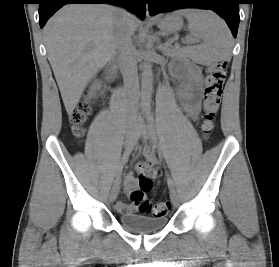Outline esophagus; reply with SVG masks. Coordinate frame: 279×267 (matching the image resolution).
Returning <instances> with one entry per match:
<instances>
[{
    "label": "esophagus",
    "mask_w": 279,
    "mask_h": 267,
    "mask_svg": "<svg viewBox=\"0 0 279 267\" xmlns=\"http://www.w3.org/2000/svg\"><path fill=\"white\" fill-rule=\"evenodd\" d=\"M146 16L149 18L150 17V14H149V11H148V4H146Z\"/></svg>",
    "instance_id": "obj_1"
}]
</instances>
